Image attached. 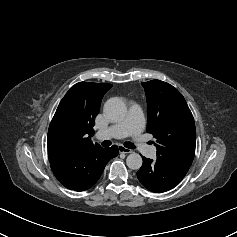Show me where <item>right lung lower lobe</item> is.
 Returning a JSON list of instances; mask_svg holds the SVG:
<instances>
[{
  "label": "right lung lower lobe",
  "mask_w": 237,
  "mask_h": 237,
  "mask_svg": "<svg viewBox=\"0 0 237 237\" xmlns=\"http://www.w3.org/2000/svg\"><path fill=\"white\" fill-rule=\"evenodd\" d=\"M118 147H96L82 152L48 145L51 169L61 184L71 190L84 191L100 178L106 164L118 154Z\"/></svg>",
  "instance_id": "obj_1"
}]
</instances>
